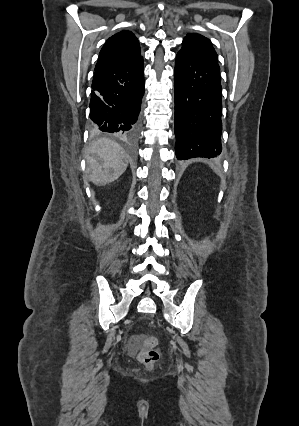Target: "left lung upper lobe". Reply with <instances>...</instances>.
Instances as JSON below:
<instances>
[{
    "mask_svg": "<svg viewBox=\"0 0 299 426\" xmlns=\"http://www.w3.org/2000/svg\"><path fill=\"white\" fill-rule=\"evenodd\" d=\"M182 44L183 47L181 50L193 54L203 55L219 68L217 63V54L208 38L200 34L191 33L186 35Z\"/></svg>",
    "mask_w": 299,
    "mask_h": 426,
    "instance_id": "obj_1",
    "label": "left lung upper lobe"
}]
</instances>
